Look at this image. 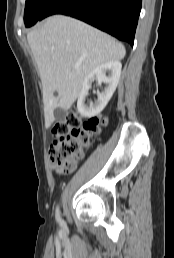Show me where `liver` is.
Returning <instances> with one entry per match:
<instances>
[{
    "instance_id": "1",
    "label": "liver",
    "mask_w": 174,
    "mask_h": 258,
    "mask_svg": "<svg viewBox=\"0 0 174 258\" xmlns=\"http://www.w3.org/2000/svg\"><path fill=\"white\" fill-rule=\"evenodd\" d=\"M27 40L42 81L47 127L54 122L57 107H71L91 71L126 54L125 47L114 38L63 15L47 18L27 34ZM74 65L79 67L75 69Z\"/></svg>"
}]
</instances>
